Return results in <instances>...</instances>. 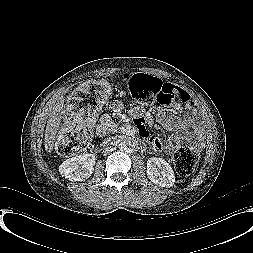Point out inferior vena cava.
<instances>
[{"instance_id":"inferior-vena-cava-1","label":"inferior vena cava","mask_w":253,"mask_h":253,"mask_svg":"<svg viewBox=\"0 0 253 253\" xmlns=\"http://www.w3.org/2000/svg\"><path fill=\"white\" fill-rule=\"evenodd\" d=\"M115 148L114 147H110L109 150H106L105 153H109V152H114Z\"/></svg>"}]
</instances>
